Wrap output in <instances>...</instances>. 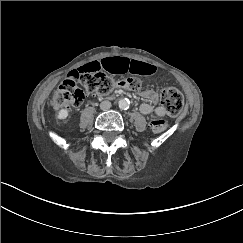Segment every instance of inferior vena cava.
Returning a JSON list of instances; mask_svg holds the SVG:
<instances>
[{"label":"inferior vena cava","instance_id":"1","mask_svg":"<svg viewBox=\"0 0 243 243\" xmlns=\"http://www.w3.org/2000/svg\"><path fill=\"white\" fill-rule=\"evenodd\" d=\"M110 107H111V102H110V101L105 100V101H102V102L100 103V108H101L102 110H107V109H109Z\"/></svg>","mask_w":243,"mask_h":243}]
</instances>
